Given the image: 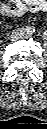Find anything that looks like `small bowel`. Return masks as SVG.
<instances>
[{"label": "small bowel", "instance_id": "obj_1", "mask_svg": "<svg viewBox=\"0 0 47 129\" xmlns=\"http://www.w3.org/2000/svg\"><path fill=\"white\" fill-rule=\"evenodd\" d=\"M46 10V0H6L0 6V13L7 17H19L28 12L36 13Z\"/></svg>", "mask_w": 47, "mask_h": 129}]
</instances>
